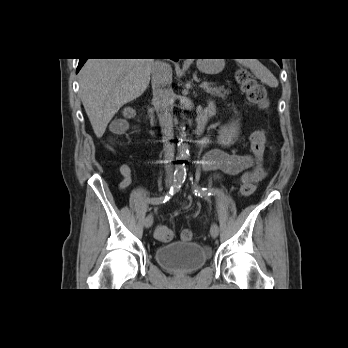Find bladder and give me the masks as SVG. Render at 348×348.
<instances>
[{
    "mask_svg": "<svg viewBox=\"0 0 348 348\" xmlns=\"http://www.w3.org/2000/svg\"><path fill=\"white\" fill-rule=\"evenodd\" d=\"M157 261L170 272L187 275L204 265L210 250L198 243L172 242L156 248Z\"/></svg>",
    "mask_w": 348,
    "mask_h": 348,
    "instance_id": "bladder-1",
    "label": "bladder"
}]
</instances>
